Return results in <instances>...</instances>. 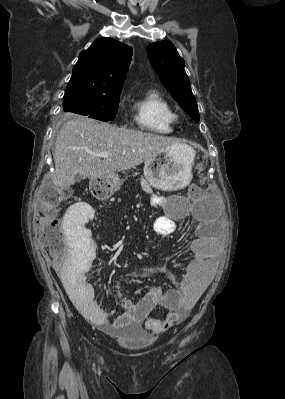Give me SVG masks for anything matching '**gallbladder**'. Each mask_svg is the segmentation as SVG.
<instances>
[{"mask_svg":"<svg viewBox=\"0 0 285 399\" xmlns=\"http://www.w3.org/2000/svg\"><path fill=\"white\" fill-rule=\"evenodd\" d=\"M84 179V177H82L81 175H79L77 178H76V181H81V180H83Z\"/></svg>","mask_w":285,"mask_h":399,"instance_id":"bac80fb5","label":"gallbladder"}]
</instances>
